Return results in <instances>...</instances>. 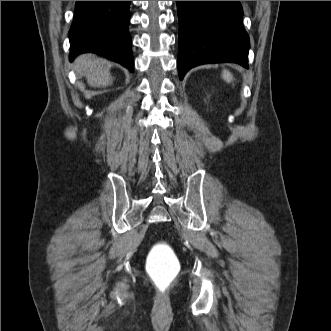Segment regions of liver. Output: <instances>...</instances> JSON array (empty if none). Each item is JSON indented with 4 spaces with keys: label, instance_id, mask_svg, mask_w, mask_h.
<instances>
[{
    "label": "liver",
    "instance_id": "liver-1",
    "mask_svg": "<svg viewBox=\"0 0 331 331\" xmlns=\"http://www.w3.org/2000/svg\"><path fill=\"white\" fill-rule=\"evenodd\" d=\"M75 70L86 77L87 82L93 87H106L113 81L107 60L89 54L76 58Z\"/></svg>",
    "mask_w": 331,
    "mask_h": 331
}]
</instances>
